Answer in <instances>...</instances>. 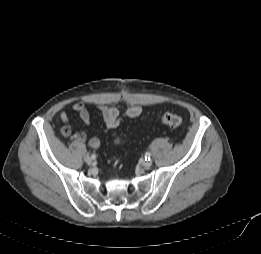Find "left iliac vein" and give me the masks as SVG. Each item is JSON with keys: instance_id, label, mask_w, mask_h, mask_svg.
<instances>
[{"instance_id": "4c4485c4", "label": "left iliac vein", "mask_w": 261, "mask_h": 254, "mask_svg": "<svg viewBox=\"0 0 261 254\" xmlns=\"http://www.w3.org/2000/svg\"><path fill=\"white\" fill-rule=\"evenodd\" d=\"M142 165H143V167H145V168H149L151 165H152V160H150V161H144L143 163H142Z\"/></svg>"}]
</instances>
